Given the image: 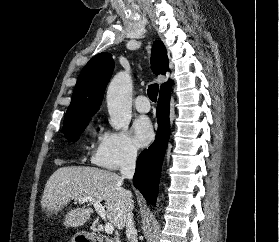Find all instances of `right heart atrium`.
<instances>
[{"label":"right heart atrium","instance_id":"1","mask_svg":"<svg viewBox=\"0 0 279 242\" xmlns=\"http://www.w3.org/2000/svg\"><path fill=\"white\" fill-rule=\"evenodd\" d=\"M138 148L125 131H106L100 138L91 157L92 163L106 169H118L133 163Z\"/></svg>","mask_w":279,"mask_h":242}]
</instances>
